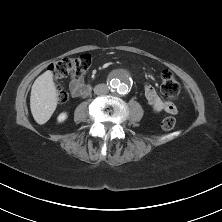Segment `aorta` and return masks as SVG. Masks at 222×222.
Returning <instances> with one entry per match:
<instances>
[{"mask_svg":"<svg viewBox=\"0 0 222 222\" xmlns=\"http://www.w3.org/2000/svg\"><path fill=\"white\" fill-rule=\"evenodd\" d=\"M131 81L132 80L128 72L121 70L114 74V76L110 79L109 84L115 93L124 95L130 90Z\"/></svg>","mask_w":222,"mask_h":222,"instance_id":"obj_1","label":"aorta"}]
</instances>
